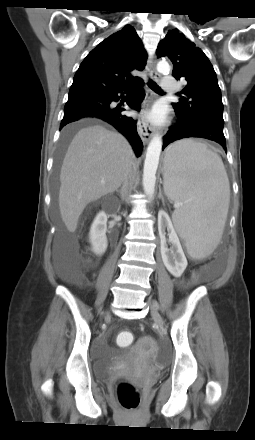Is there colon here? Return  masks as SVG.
I'll return each mask as SVG.
<instances>
[{"mask_svg":"<svg viewBox=\"0 0 255 440\" xmlns=\"http://www.w3.org/2000/svg\"><path fill=\"white\" fill-rule=\"evenodd\" d=\"M134 335L129 331H122L117 335L119 346L126 347L133 343ZM117 398L120 404L126 409H135L139 404V395L135 387L123 382L118 386Z\"/></svg>","mask_w":255,"mask_h":440,"instance_id":"obj_1","label":"colon"}]
</instances>
